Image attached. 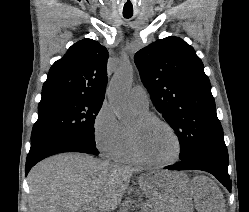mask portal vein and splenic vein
<instances>
[{
	"label": "portal vein and splenic vein",
	"instance_id": "portal-vein-and-splenic-vein-1",
	"mask_svg": "<svg viewBox=\"0 0 249 212\" xmlns=\"http://www.w3.org/2000/svg\"><path fill=\"white\" fill-rule=\"evenodd\" d=\"M89 210H93V208H89Z\"/></svg>",
	"mask_w": 249,
	"mask_h": 212
}]
</instances>
